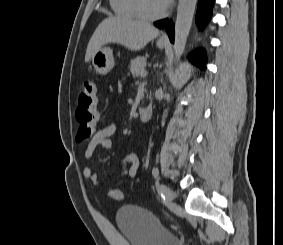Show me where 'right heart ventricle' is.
<instances>
[{"label":"right heart ventricle","mask_w":283,"mask_h":245,"mask_svg":"<svg viewBox=\"0 0 283 245\" xmlns=\"http://www.w3.org/2000/svg\"><path fill=\"white\" fill-rule=\"evenodd\" d=\"M110 6L118 16L127 18L140 17L135 7V0H110Z\"/></svg>","instance_id":"1"}]
</instances>
